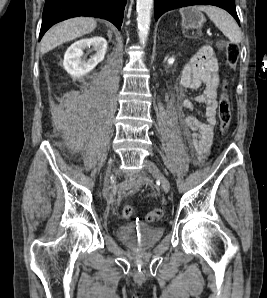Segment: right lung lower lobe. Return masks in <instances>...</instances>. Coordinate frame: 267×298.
I'll return each mask as SVG.
<instances>
[{
  "label": "right lung lower lobe",
  "instance_id": "right-lung-lower-lobe-1",
  "mask_svg": "<svg viewBox=\"0 0 267 298\" xmlns=\"http://www.w3.org/2000/svg\"><path fill=\"white\" fill-rule=\"evenodd\" d=\"M126 0H46L39 40L55 23L77 16L106 19L119 30Z\"/></svg>",
  "mask_w": 267,
  "mask_h": 298
}]
</instances>
